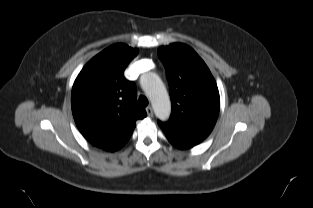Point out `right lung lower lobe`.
<instances>
[{"label": "right lung lower lobe", "instance_id": "obj_1", "mask_svg": "<svg viewBox=\"0 0 313 208\" xmlns=\"http://www.w3.org/2000/svg\"><path fill=\"white\" fill-rule=\"evenodd\" d=\"M100 148L105 149V150H107V151H115V150H118V149H109V148H106V147H100ZM119 149H120V148H119Z\"/></svg>", "mask_w": 313, "mask_h": 208}]
</instances>
